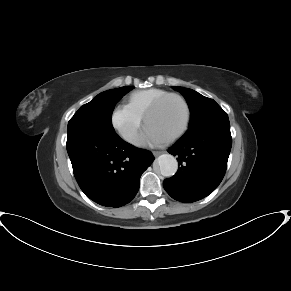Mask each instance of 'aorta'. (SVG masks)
<instances>
[{
    "instance_id": "762f6f07",
    "label": "aorta",
    "mask_w": 291,
    "mask_h": 291,
    "mask_svg": "<svg viewBox=\"0 0 291 291\" xmlns=\"http://www.w3.org/2000/svg\"><path fill=\"white\" fill-rule=\"evenodd\" d=\"M160 172L165 177L173 176L178 169V162L171 154H162L157 159Z\"/></svg>"
}]
</instances>
